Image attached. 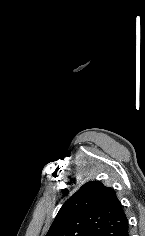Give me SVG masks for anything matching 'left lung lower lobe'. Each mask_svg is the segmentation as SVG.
Here are the masks:
<instances>
[{
    "mask_svg": "<svg viewBox=\"0 0 145 236\" xmlns=\"http://www.w3.org/2000/svg\"><path fill=\"white\" fill-rule=\"evenodd\" d=\"M122 236H129L128 228L124 231V233L122 234Z\"/></svg>",
    "mask_w": 145,
    "mask_h": 236,
    "instance_id": "0a47b994",
    "label": "left lung lower lobe"
}]
</instances>
